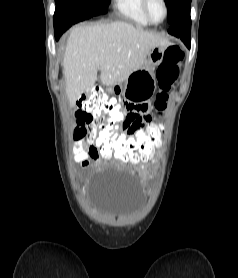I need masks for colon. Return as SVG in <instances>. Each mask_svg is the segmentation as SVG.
Instances as JSON below:
<instances>
[{
  "label": "colon",
  "instance_id": "5ec220e1",
  "mask_svg": "<svg viewBox=\"0 0 238 278\" xmlns=\"http://www.w3.org/2000/svg\"><path fill=\"white\" fill-rule=\"evenodd\" d=\"M184 53L178 46L166 49L163 61L157 70L160 92L155 107L163 110L168 91L179 76V65ZM131 104L122 105L99 88H92L83 94L77 102L76 127L74 136L82 139L87 135V126L96 125V146L99 159H116L117 162H149L155 156L156 149L163 145L154 135H164V130H136L134 137L125 136L122 131L127 112ZM165 124H146V129H165ZM147 135H150L147 137ZM158 141V142H157Z\"/></svg>",
  "mask_w": 238,
  "mask_h": 278
}]
</instances>
